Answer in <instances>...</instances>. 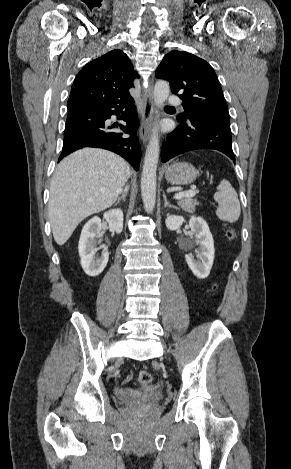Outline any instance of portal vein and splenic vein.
Segmentation results:
<instances>
[{"label":"portal vein and splenic vein","mask_w":291,"mask_h":469,"mask_svg":"<svg viewBox=\"0 0 291 469\" xmlns=\"http://www.w3.org/2000/svg\"><path fill=\"white\" fill-rule=\"evenodd\" d=\"M195 194H196V191L194 189H191V190H188V191L177 193L174 196V198L179 200V199H182V198H185V197H194Z\"/></svg>","instance_id":"18ae733b"}]
</instances>
